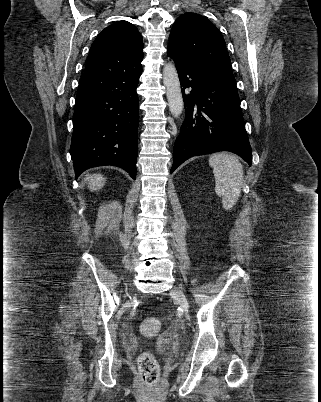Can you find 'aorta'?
<instances>
[{
    "label": "aorta",
    "mask_w": 321,
    "mask_h": 402,
    "mask_svg": "<svg viewBox=\"0 0 321 402\" xmlns=\"http://www.w3.org/2000/svg\"><path fill=\"white\" fill-rule=\"evenodd\" d=\"M163 83L166 88V96L171 114L174 117H178L183 111L184 102L178 73L173 63H168L164 66Z\"/></svg>",
    "instance_id": "aorta-1"
}]
</instances>
